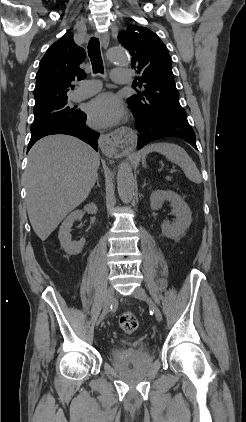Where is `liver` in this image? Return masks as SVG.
Here are the masks:
<instances>
[{"label": "liver", "mask_w": 246, "mask_h": 422, "mask_svg": "<svg viewBox=\"0 0 246 422\" xmlns=\"http://www.w3.org/2000/svg\"><path fill=\"white\" fill-rule=\"evenodd\" d=\"M99 166V155L72 136H47L32 147L24 173L26 206L42 241L88 197Z\"/></svg>", "instance_id": "liver-1"}]
</instances>
